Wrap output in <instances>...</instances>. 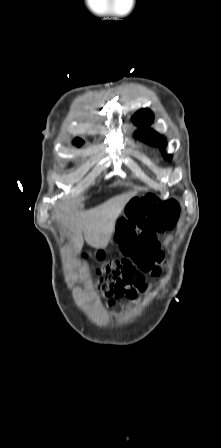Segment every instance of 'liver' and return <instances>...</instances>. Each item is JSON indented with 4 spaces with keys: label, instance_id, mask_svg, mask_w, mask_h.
Wrapping results in <instances>:
<instances>
[{
    "label": "liver",
    "instance_id": "liver-1",
    "mask_svg": "<svg viewBox=\"0 0 221 448\" xmlns=\"http://www.w3.org/2000/svg\"><path fill=\"white\" fill-rule=\"evenodd\" d=\"M134 196L135 193L119 195L94 209L78 214L72 221L74 235L71 236L76 252L83 246L81 230L88 245L105 248L111 241L116 219Z\"/></svg>",
    "mask_w": 221,
    "mask_h": 448
}]
</instances>
